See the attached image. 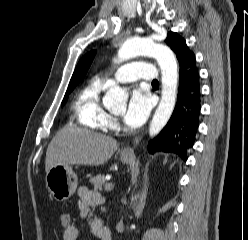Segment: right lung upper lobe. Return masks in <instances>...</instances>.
Returning <instances> with one entry per match:
<instances>
[{"label":"right lung upper lobe","instance_id":"right-lung-upper-lobe-1","mask_svg":"<svg viewBox=\"0 0 248 240\" xmlns=\"http://www.w3.org/2000/svg\"><path fill=\"white\" fill-rule=\"evenodd\" d=\"M95 54H96V51H91L81 58V60L79 61L72 75L70 82L71 81L80 82L83 79V77L85 76L88 68L90 67L94 59Z\"/></svg>","mask_w":248,"mask_h":240}]
</instances>
